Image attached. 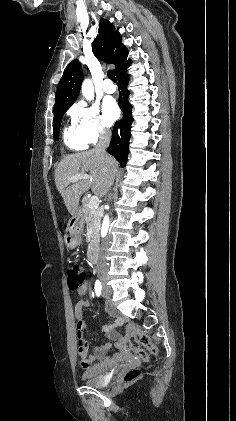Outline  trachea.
I'll return each instance as SVG.
<instances>
[{
    "instance_id": "obj_1",
    "label": "trachea",
    "mask_w": 236,
    "mask_h": 421,
    "mask_svg": "<svg viewBox=\"0 0 236 421\" xmlns=\"http://www.w3.org/2000/svg\"><path fill=\"white\" fill-rule=\"evenodd\" d=\"M107 75H108V78H110V80H112L113 82H116L117 81L116 76H115V73H114L113 70H109L108 73H107Z\"/></svg>"
}]
</instances>
